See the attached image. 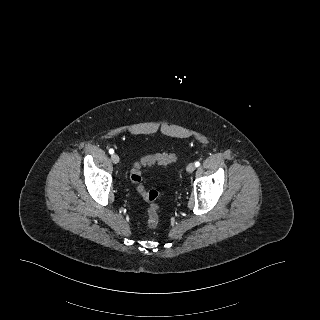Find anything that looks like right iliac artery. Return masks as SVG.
Wrapping results in <instances>:
<instances>
[{
  "instance_id": "1",
  "label": "right iliac artery",
  "mask_w": 320,
  "mask_h": 320,
  "mask_svg": "<svg viewBox=\"0 0 320 320\" xmlns=\"http://www.w3.org/2000/svg\"><path fill=\"white\" fill-rule=\"evenodd\" d=\"M109 153H110V154H113V153H114V150H113V149H110V150H109Z\"/></svg>"
}]
</instances>
